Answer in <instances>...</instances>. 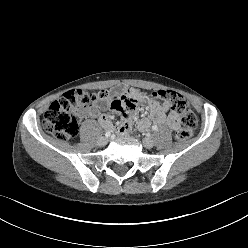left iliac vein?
I'll return each instance as SVG.
<instances>
[{
	"label": "left iliac vein",
	"mask_w": 248,
	"mask_h": 248,
	"mask_svg": "<svg viewBox=\"0 0 248 248\" xmlns=\"http://www.w3.org/2000/svg\"><path fill=\"white\" fill-rule=\"evenodd\" d=\"M143 145L145 148L150 149L154 146V141L151 138L143 139Z\"/></svg>",
	"instance_id": "4c4485c4"
}]
</instances>
